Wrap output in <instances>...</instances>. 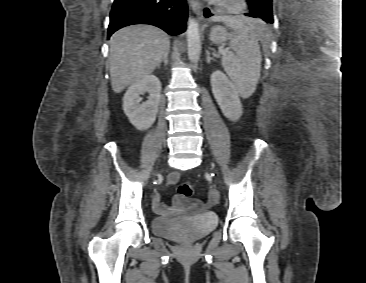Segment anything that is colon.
Returning a JSON list of instances; mask_svg holds the SVG:
<instances>
[{
	"mask_svg": "<svg viewBox=\"0 0 366 283\" xmlns=\"http://www.w3.org/2000/svg\"><path fill=\"white\" fill-rule=\"evenodd\" d=\"M195 192V186L189 181H182L178 185V193L182 197H191ZM190 211L196 212L200 208V202L196 199H192L190 202Z\"/></svg>",
	"mask_w": 366,
	"mask_h": 283,
	"instance_id": "colon-1",
	"label": "colon"
}]
</instances>
